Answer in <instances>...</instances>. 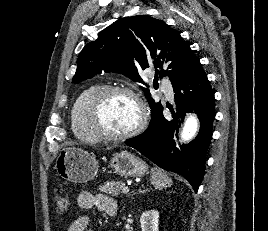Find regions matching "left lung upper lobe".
<instances>
[{"mask_svg": "<svg viewBox=\"0 0 268 231\" xmlns=\"http://www.w3.org/2000/svg\"><path fill=\"white\" fill-rule=\"evenodd\" d=\"M197 57L180 34L164 21L146 15L127 17L113 23L86 44L77 60L72 79L79 83L97 73L117 72L133 81L145 82L140 72L154 65L156 77L168 76L172 81L183 74ZM151 107V121L162 110L149 90L141 87Z\"/></svg>", "mask_w": 268, "mask_h": 231, "instance_id": "left-lung-upper-lobe-1", "label": "left lung upper lobe"}]
</instances>
